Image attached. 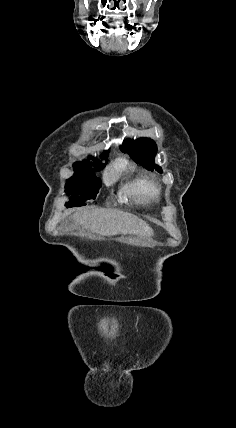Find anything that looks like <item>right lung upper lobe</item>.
I'll return each mask as SVG.
<instances>
[{
	"label": "right lung upper lobe",
	"instance_id": "1",
	"mask_svg": "<svg viewBox=\"0 0 236 428\" xmlns=\"http://www.w3.org/2000/svg\"><path fill=\"white\" fill-rule=\"evenodd\" d=\"M108 152L109 151H106V152H104L103 153V156H102V158H104V159H106L107 158V156H108ZM89 159H93L94 160V162L96 163V164H93L94 165V167H95V169H92L91 168V166H88L87 164H89V165H91V163L88 161V160H85V163H83V162H76L74 165H73V167L75 168V169H85V170H97V169H101V168H103L105 165H100L99 163H97L96 162V159L95 158H93V157H89Z\"/></svg>",
	"mask_w": 236,
	"mask_h": 428
}]
</instances>
